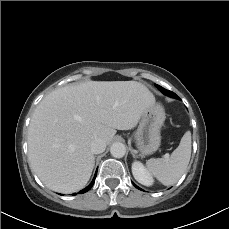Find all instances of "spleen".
Returning a JSON list of instances; mask_svg holds the SVG:
<instances>
[{
    "label": "spleen",
    "mask_w": 229,
    "mask_h": 229,
    "mask_svg": "<svg viewBox=\"0 0 229 229\" xmlns=\"http://www.w3.org/2000/svg\"><path fill=\"white\" fill-rule=\"evenodd\" d=\"M191 157V133L187 131L179 146L168 158H151L146 162L149 172L163 185L175 184L187 169Z\"/></svg>",
    "instance_id": "spleen-1"
}]
</instances>
